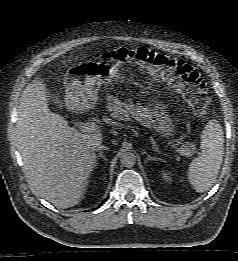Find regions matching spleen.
<instances>
[{"label":"spleen","mask_w":238,"mask_h":261,"mask_svg":"<svg viewBox=\"0 0 238 261\" xmlns=\"http://www.w3.org/2000/svg\"><path fill=\"white\" fill-rule=\"evenodd\" d=\"M217 120H210L201 135L200 156L189 165L188 180L198 193L209 190L218 176L223 152L224 135Z\"/></svg>","instance_id":"obj_1"}]
</instances>
